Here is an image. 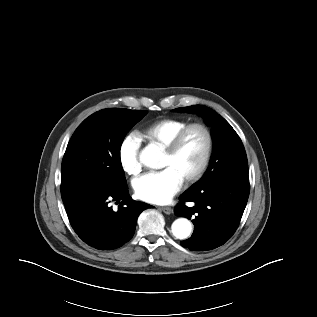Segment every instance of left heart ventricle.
Returning a JSON list of instances; mask_svg holds the SVG:
<instances>
[{
  "mask_svg": "<svg viewBox=\"0 0 317 317\" xmlns=\"http://www.w3.org/2000/svg\"><path fill=\"white\" fill-rule=\"evenodd\" d=\"M206 148V136L199 128L190 130L174 156L164 153L162 168H173L184 180L199 167Z\"/></svg>",
  "mask_w": 317,
  "mask_h": 317,
  "instance_id": "1",
  "label": "left heart ventricle"
}]
</instances>
